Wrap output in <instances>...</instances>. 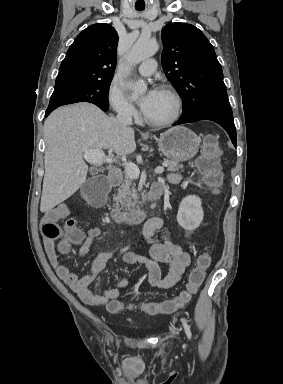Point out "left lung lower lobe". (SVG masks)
Wrapping results in <instances>:
<instances>
[{
    "label": "left lung lower lobe",
    "instance_id": "obj_1",
    "mask_svg": "<svg viewBox=\"0 0 283 384\" xmlns=\"http://www.w3.org/2000/svg\"><path fill=\"white\" fill-rule=\"evenodd\" d=\"M199 120H212L218 123L219 125H221L229 134L233 145L236 146V142H237L236 129L233 121V114H232L231 108L211 109V110L201 111L190 117L179 119L173 125L191 123Z\"/></svg>",
    "mask_w": 283,
    "mask_h": 384
}]
</instances>
